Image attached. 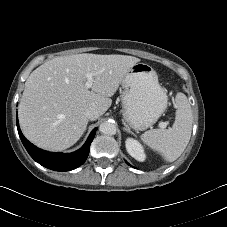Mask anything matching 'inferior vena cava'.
I'll use <instances>...</instances> for the list:
<instances>
[{"label": "inferior vena cava", "mask_w": 227, "mask_h": 227, "mask_svg": "<svg viewBox=\"0 0 227 227\" xmlns=\"http://www.w3.org/2000/svg\"><path fill=\"white\" fill-rule=\"evenodd\" d=\"M85 116L89 120H96L100 116V114L96 108L90 107V108L86 109Z\"/></svg>", "instance_id": "602c4592"}]
</instances>
